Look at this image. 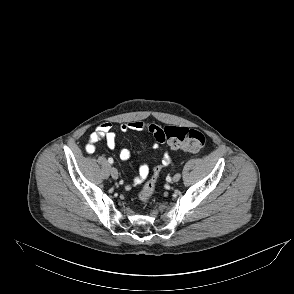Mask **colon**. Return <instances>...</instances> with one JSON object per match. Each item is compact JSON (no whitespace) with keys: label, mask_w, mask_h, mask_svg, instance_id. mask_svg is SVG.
I'll use <instances>...</instances> for the list:
<instances>
[{"label":"colon","mask_w":294,"mask_h":294,"mask_svg":"<svg viewBox=\"0 0 294 294\" xmlns=\"http://www.w3.org/2000/svg\"><path fill=\"white\" fill-rule=\"evenodd\" d=\"M148 130L153 133L156 141L167 143L174 149H183L189 152L197 153L202 151L206 145V138L198 130L179 126L159 127L153 124L148 125ZM159 175V167L152 171L150 179L139 192V200L147 203L155 190L156 181Z\"/></svg>","instance_id":"colon-1"}]
</instances>
